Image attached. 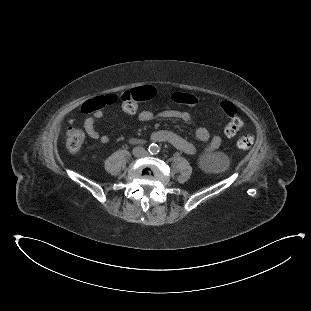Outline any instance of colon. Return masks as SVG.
I'll return each instance as SVG.
<instances>
[{
    "instance_id": "colon-1",
    "label": "colon",
    "mask_w": 311,
    "mask_h": 311,
    "mask_svg": "<svg viewBox=\"0 0 311 311\" xmlns=\"http://www.w3.org/2000/svg\"><path fill=\"white\" fill-rule=\"evenodd\" d=\"M155 93V88L153 86H143L139 88H135L130 91H126L119 95L120 100L122 101V108L127 113H134L138 108V101L142 99H149L153 97ZM172 101L180 104H186L191 107L195 105V99L192 95L187 93H174L171 96ZM114 97L107 95H100L99 97H89L83 100V105L78 109L80 114H88L89 110L95 109L96 106L100 104L113 105ZM216 106L225 110L227 114L233 119L230 123H228L225 127V134L229 137L235 136V132L240 129V123H242V118L238 115L236 110L228 103L219 99L216 101ZM241 118V120H240ZM239 123V124H238ZM239 125V126H238ZM238 126V127H237ZM238 129V130H237ZM235 134V135H234ZM85 140V134L82 130L73 128L70 129L66 134V148L71 154L77 153L82 147ZM254 136L249 134H244L241 137H238V147L242 150L250 149L254 144Z\"/></svg>"
}]
</instances>
